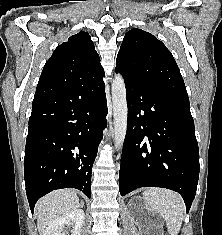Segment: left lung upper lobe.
Segmentation results:
<instances>
[{
	"label": "left lung upper lobe",
	"instance_id": "obj_1",
	"mask_svg": "<svg viewBox=\"0 0 222 235\" xmlns=\"http://www.w3.org/2000/svg\"><path fill=\"white\" fill-rule=\"evenodd\" d=\"M116 70L131 80L189 104L175 59L149 32L134 28L126 33L117 55Z\"/></svg>",
	"mask_w": 222,
	"mask_h": 235
}]
</instances>
